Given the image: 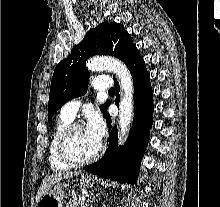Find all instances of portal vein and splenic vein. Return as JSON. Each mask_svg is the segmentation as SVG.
I'll return each mask as SVG.
<instances>
[{
  "label": "portal vein and splenic vein",
  "instance_id": "18ae733b",
  "mask_svg": "<svg viewBox=\"0 0 220 207\" xmlns=\"http://www.w3.org/2000/svg\"><path fill=\"white\" fill-rule=\"evenodd\" d=\"M81 200H85L84 197L80 198Z\"/></svg>",
  "mask_w": 220,
  "mask_h": 207
}]
</instances>
